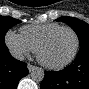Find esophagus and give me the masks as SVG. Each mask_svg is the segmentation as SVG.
Listing matches in <instances>:
<instances>
[{"instance_id": "34e87169", "label": "esophagus", "mask_w": 89, "mask_h": 89, "mask_svg": "<svg viewBox=\"0 0 89 89\" xmlns=\"http://www.w3.org/2000/svg\"><path fill=\"white\" fill-rule=\"evenodd\" d=\"M27 68H28V70L31 72V71H33L36 67L33 66V65H31V64H28V65H27Z\"/></svg>"}]
</instances>
